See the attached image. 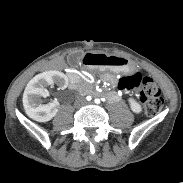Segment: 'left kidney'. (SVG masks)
<instances>
[{
    "label": "left kidney",
    "instance_id": "5707ae66",
    "mask_svg": "<svg viewBox=\"0 0 183 183\" xmlns=\"http://www.w3.org/2000/svg\"><path fill=\"white\" fill-rule=\"evenodd\" d=\"M130 108L134 113H140L142 111L141 105L133 98H130L129 100Z\"/></svg>",
    "mask_w": 183,
    "mask_h": 183
}]
</instances>
